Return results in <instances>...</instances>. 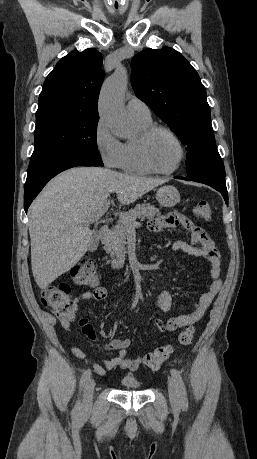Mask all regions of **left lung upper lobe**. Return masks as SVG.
I'll return each mask as SVG.
<instances>
[{
  "label": "left lung upper lobe",
  "instance_id": "obj_1",
  "mask_svg": "<svg viewBox=\"0 0 257 459\" xmlns=\"http://www.w3.org/2000/svg\"><path fill=\"white\" fill-rule=\"evenodd\" d=\"M136 96L168 124L186 146L190 178H225L216 148L206 90L190 63L176 50L145 49L132 59Z\"/></svg>",
  "mask_w": 257,
  "mask_h": 459
}]
</instances>
